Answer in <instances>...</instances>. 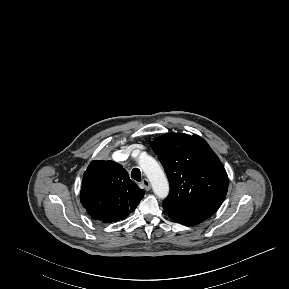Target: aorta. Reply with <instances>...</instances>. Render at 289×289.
Here are the masks:
<instances>
[{
    "instance_id": "aorta-1",
    "label": "aorta",
    "mask_w": 289,
    "mask_h": 289,
    "mask_svg": "<svg viewBox=\"0 0 289 289\" xmlns=\"http://www.w3.org/2000/svg\"><path fill=\"white\" fill-rule=\"evenodd\" d=\"M139 165L149 181L155 195L164 199L169 194V183L159 163L147 153L142 152L139 156Z\"/></svg>"
}]
</instances>
